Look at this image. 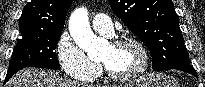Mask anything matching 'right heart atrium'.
Here are the masks:
<instances>
[{
	"mask_svg": "<svg viewBox=\"0 0 205 87\" xmlns=\"http://www.w3.org/2000/svg\"><path fill=\"white\" fill-rule=\"evenodd\" d=\"M55 53L67 76L77 80H90L98 76L99 65L86 55L68 32H63L58 38Z\"/></svg>",
	"mask_w": 205,
	"mask_h": 87,
	"instance_id": "right-heart-atrium-1",
	"label": "right heart atrium"
}]
</instances>
